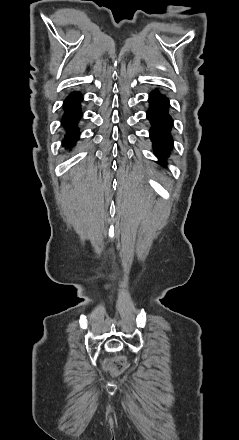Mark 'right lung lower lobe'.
Instances as JSON below:
<instances>
[{
  "label": "right lung lower lobe",
  "instance_id": "1",
  "mask_svg": "<svg viewBox=\"0 0 239 440\" xmlns=\"http://www.w3.org/2000/svg\"><path fill=\"white\" fill-rule=\"evenodd\" d=\"M82 100L83 98L80 93L72 92L64 101V115L61 124L64 127L66 134L62 144L68 149L72 148L79 138L80 132L77 125L82 115L80 106Z\"/></svg>",
  "mask_w": 239,
  "mask_h": 440
}]
</instances>
